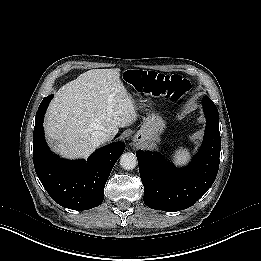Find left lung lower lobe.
Instances as JSON below:
<instances>
[{
	"label": "left lung lower lobe",
	"instance_id": "1",
	"mask_svg": "<svg viewBox=\"0 0 261 261\" xmlns=\"http://www.w3.org/2000/svg\"><path fill=\"white\" fill-rule=\"evenodd\" d=\"M207 120L201 149L190 165L177 169L157 153L139 150L136 153L140 177L144 186V203L162 211L186 209L212 186L219 169L221 139L216 105L203 97Z\"/></svg>",
	"mask_w": 261,
	"mask_h": 261
}]
</instances>
